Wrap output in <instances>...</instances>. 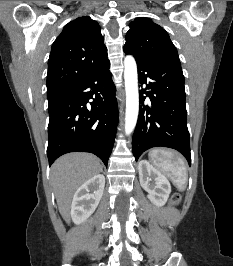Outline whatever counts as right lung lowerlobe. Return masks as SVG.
I'll return each mask as SVG.
<instances>
[{"label": "right lung lower lobe", "mask_w": 233, "mask_h": 266, "mask_svg": "<svg viewBox=\"0 0 233 266\" xmlns=\"http://www.w3.org/2000/svg\"><path fill=\"white\" fill-rule=\"evenodd\" d=\"M109 65L48 100L49 165L65 153L80 151L97 155L107 166L119 115ZM89 99L93 102L87 107Z\"/></svg>", "instance_id": "98d812e1"}]
</instances>
